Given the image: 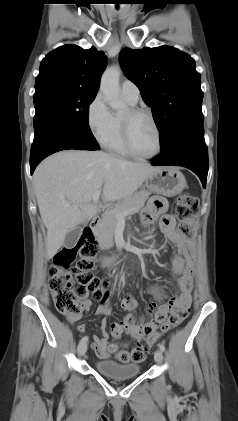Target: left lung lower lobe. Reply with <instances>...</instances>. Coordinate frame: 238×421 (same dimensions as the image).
<instances>
[{
  "label": "left lung lower lobe",
  "instance_id": "0a47b994",
  "mask_svg": "<svg viewBox=\"0 0 238 421\" xmlns=\"http://www.w3.org/2000/svg\"><path fill=\"white\" fill-rule=\"evenodd\" d=\"M154 166L178 165L196 173L205 188L208 174V151L203 122L193 123L180 131L152 162Z\"/></svg>",
  "mask_w": 238,
  "mask_h": 421
}]
</instances>
